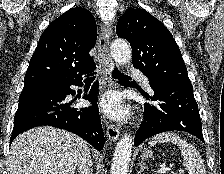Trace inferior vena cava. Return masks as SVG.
Returning a JSON list of instances; mask_svg holds the SVG:
<instances>
[{
  "mask_svg": "<svg viewBox=\"0 0 224 174\" xmlns=\"http://www.w3.org/2000/svg\"><path fill=\"white\" fill-rule=\"evenodd\" d=\"M93 165L91 157H90V151L86 150L82 156L79 159L78 162V169L79 174H93L91 166Z\"/></svg>",
  "mask_w": 224,
  "mask_h": 174,
  "instance_id": "obj_1",
  "label": "inferior vena cava"
}]
</instances>
